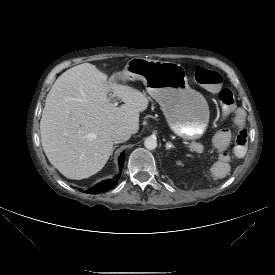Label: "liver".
I'll return each instance as SVG.
<instances>
[{
    "instance_id": "obj_1",
    "label": "liver",
    "mask_w": 275,
    "mask_h": 275,
    "mask_svg": "<svg viewBox=\"0 0 275 275\" xmlns=\"http://www.w3.org/2000/svg\"><path fill=\"white\" fill-rule=\"evenodd\" d=\"M111 76L114 95L124 104L111 103L107 76L90 63L65 71L46 97L40 121L41 143L50 163L66 178L80 180L99 172L108 161L112 134L139 130V114L149 100L141 91Z\"/></svg>"
}]
</instances>
